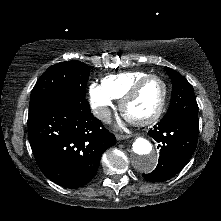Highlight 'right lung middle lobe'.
Wrapping results in <instances>:
<instances>
[{
    "instance_id": "dd1d6c3e",
    "label": "right lung middle lobe",
    "mask_w": 221,
    "mask_h": 221,
    "mask_svg": "<svg viewBox=\"0 0 221 221\" xmlns=\"http://www.w3.org/2000/svg\"><path fill=\"white\" fill-rule=\"evenodd\" d=\"M89 74V67L76 60L49 67L38 79L31 92L28 122L68 94L85 97Z\"/></svg>"
}]
</instances>
